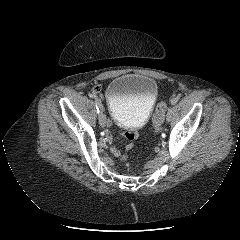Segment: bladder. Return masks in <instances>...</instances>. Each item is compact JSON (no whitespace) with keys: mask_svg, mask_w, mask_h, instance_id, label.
Returning <instances> with one entry per match:
<instances>
[{"mask_svg":"<svg viewBox=\"0 0 240 240\" xmlns=\"http://www.w3.org/2000/svg\"><path fill=\"white\" fill-rule=\"evenodd\" d=\"M157 96L156 81L140 74L121 75L110 82L106 91L114 120L126 129H137L147 121Z\"/></svg>","mask_w":240,"mask_h":240,"instance_id":"1","label":"bladder"}]
</instances>
